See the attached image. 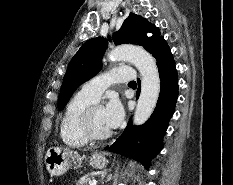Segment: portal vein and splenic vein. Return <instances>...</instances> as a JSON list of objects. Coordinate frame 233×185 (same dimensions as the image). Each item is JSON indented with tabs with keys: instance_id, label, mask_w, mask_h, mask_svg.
<instances>
[{
	"instance_id": "obj_1",
	"label": "portal vein and splenic vein",
	"mask_w": 233,
	"mask_h": 185,
	"mask_svg": "<svg viewBox=\"0 0 233 185\" xmlns=\"http://www.w3.org/2000/svg\"><path fill=\"white\" fill-rule=\"evenodd\" d=\"M96 184H97V181L95 179L89 182V185H96Z\"/></svg>"
}]
</instances>
